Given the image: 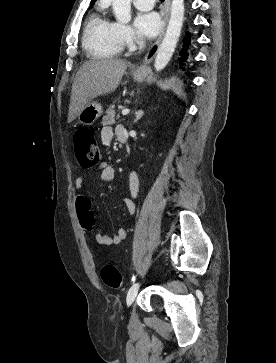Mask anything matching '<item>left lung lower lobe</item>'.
Returning <instances> with one entry per match:
<instances>
[{
    "instance_id": "0a47b994",
    "label": "left lung lower lobe",
    "mask_w": 276,
    "mask_h": 363,
    "mask_svg": "<svg viewBox=\"0 0 276 363\" xmlns=\"http://www.w3.org/2000/svg\"><path fill=\"white\" fill-rule=\"evenodd\" d=\"M183 48L179 53V68L183 71L189 69L190 57H191V48H192V40L190 37V33H186V37L183 39Z\"/></svg>"
}]
</instances>
